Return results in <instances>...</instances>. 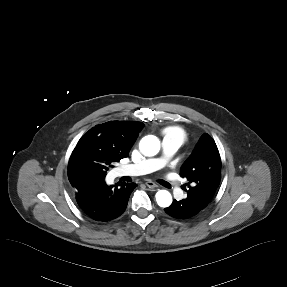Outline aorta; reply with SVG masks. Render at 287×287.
I'll return each mask as SVG.
<instances>
[{
  "mask_svg": "<svg viewBox=\"0 0 287 287\" xmlns=\"http://www.w3.org/2000/svg\"><path fill=\"white\" fill-rule=\"evenodd\" d=\"M139 149L145 156H155L160 150V141L154 135L145 136L139 143ZM155 197L160 207H169L172 203V195L167 190H159Z\"/></svg>",
  "mask_w": 287,
  "mask_h": 287,
  "instance_id": "aorta-1",
  "label": "aorta"
}]
</instances>
